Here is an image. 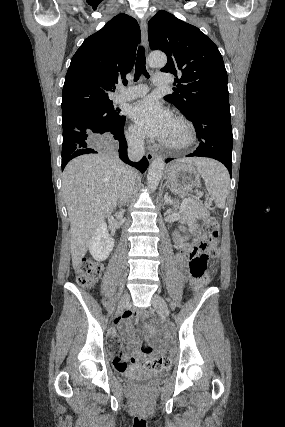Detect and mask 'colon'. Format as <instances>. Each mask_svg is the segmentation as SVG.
<instances>
[{"mask_svg":"<svg viewBox=\"0 0 285 427\" xmlns=\"http://www.w3.org/2000/svg\"><path fill=\"white\" fill-rule=\"evenodd\" d=\"M219 235L216 218H208L203 226L198 244L188 249L187 265L184 267V275L192 286H199L208 279L209 256L216 255L215 244ZM77 282L83 287H91L101 273L100 264L92 259L82 258L75 264ZM130 312L126 313V315ZM149 370H161L170 367L171 361L167 357H154L144 361ZM126 362H121L119 367L124 369Z\"/></svg>","mask_w":285,"mask_h":427,"instance_id":"1","label":"colon"}]
</instances>
